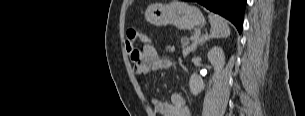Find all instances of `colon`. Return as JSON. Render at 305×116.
<instances>
[{
	"mask_svg": "<svg viewBox=\"0 0 305 116\" xmlns=\"http://www.w3.org/2000/svg\"><path fill=\"white\" fill-rule=\"evenodd\" d=\"M138 40L145 43L148 41V39L144 35H142L136 28L130 27L126 33L125 48L131 59L136 58L138 55V51L135 49V43Z\"/></svg>",
	"mask_w": 305,
	"mask_h": 116,
	"instance_id": "colon-1",
	"label": "colon"
}]
</instances>
